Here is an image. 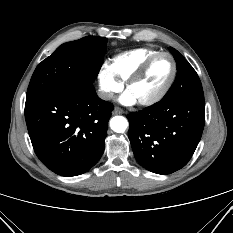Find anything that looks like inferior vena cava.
Here are the masks:
<instances>
[{
  "label": "inferior vena cava",
  "mask_w": 233,
  "mask_h": 233,
  "mask_svg": "<svg viewBox=\"0 0 233 233\" xmlns=\"http://www.w3.org/2000/svg\"><path fill=\"white\" fill-rule=\"evenodd\" d=\"M98 97L103 99V100H110V99L113 98V93L99 90L98 91Z\"/></svg>",
  "instance_id": "inferior-vena-cava-1"
}]
</instances>
